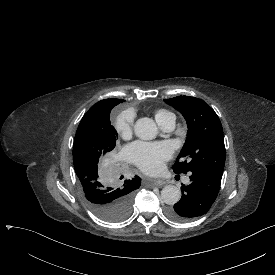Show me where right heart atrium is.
<instances>
[{
	"mask_svg": "<svg viewBox=\"0 0 275 275\" xmlns=\"http://www.w3.org/2000/svg\"><path fill=\"white\" fill-rule=\"evenodd\" d=\"M132 124H133V115L124 114L119 116L116 119L114 123V127L120 137L127 138L132 131Z\"/></svg>",
	"mask_w": 275,
	"mask_h": 275,
	"instance_id": "right-heart-atrium-1",
	"label": "right heart atrium"
}]
</instances>
